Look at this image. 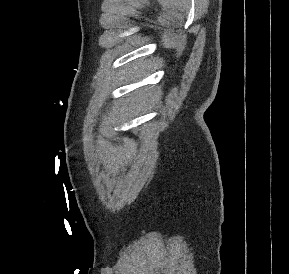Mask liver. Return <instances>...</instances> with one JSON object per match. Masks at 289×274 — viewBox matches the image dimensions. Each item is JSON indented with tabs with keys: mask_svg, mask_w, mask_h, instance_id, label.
Wrapping results in <instances>:
<instances>
[{
	"mask_svg": "<svg viewBox=\"0 0 289 274\" xmlns=\"http://www.w3.org/2000/svg\"><path fill=\"white\" fill-rule=\"evenodd\" d=\"M152 66L146 60L140 59L133 65V77L143 76L146 74L148 67ZM161 94L160 90H155L154 88H149L147 92L143 95L148 97L150 102H153Z\"/></svg>",
	"mask_w": 289,
	"mask_h": 274,
	"instance_id": "6515ba94",
	"label": "liver"
}]
</instances>
